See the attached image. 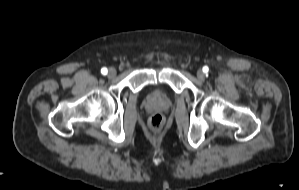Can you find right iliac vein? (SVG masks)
Wrapping results in <instances>:
<instances>
[{
    "label": "right iliac vein",
    "mask_w": 299,
    "mask_h": 190,
    "mask_svg": "<svg viewBox=\"0 0 299 190\" xmlns=\"http://www.w3.org/2000/svg\"><path fill=\"white\" fill-rule=\"evenodd\" d=\"M108 76H109L110 78L115 77V76H116V70H115L114 68H110V69L108 70Z\"/></svg>",
    "instance_id": "1"
}]
</instances>
